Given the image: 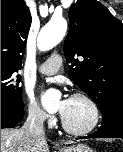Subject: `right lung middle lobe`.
I'll list each match as a JSON object with an SVG mask.
<instances>
[{
	"instance_id": "dd1d6c3e",
	"label": "right lung middle lobe",
	"mask_w": 123,
	"mask_h": 152,
	"mask_svg": "<svg viewBox=\"0 0 123 152\" xmlns=\"http://www.w3.org/2000/svg\"><path fill=\"white\" fill-rule=\"evenodd\" d=\"M18 70L1 67V105L23 109L22 87L19 86Z\"/></svg>"
}]
</instances>
